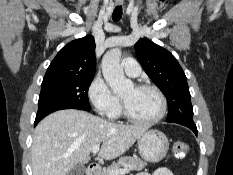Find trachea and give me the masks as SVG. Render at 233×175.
<instances>
[{
    "mask_svg": "<svg viewBox=\"0 0 233 175\" xmlns=\"http://www.w3.org/2000/svg\"><path fill=\"white\" fill-rule=\"evenodd\" d=\"M121 17H122V7L116 6L112 14V19L113 21H119Z\"/></svg>",
    "mask_w": 233,
    "mask_h": 175,
    "instance_id": "1",
    "label": "trachea"
}]
</instances>
